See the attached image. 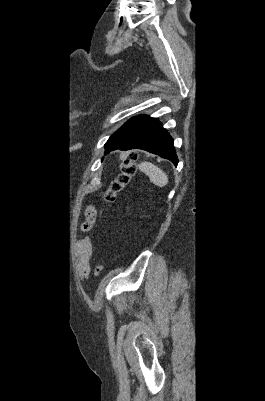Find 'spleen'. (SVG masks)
I'll return each mask as SVG.
<instances>
[{"instance_id": "obj_1", "label": "spleen", "mask_w": 265, "mask_h": 401, "mask_svg": "<svg viewBox=\"0 0 265 401\" xmlns=\"http://www.w3.org/2000/svg\"><path fill=\"white\" fill-rule=\"evenodd\" d=\"M139 168L143 170L145 174H148L151 182H154V184H158V186H165V184H168L166 172H163L161 168H158V166H155L152 162H141Z\"/></svg>"}]
</instances>
